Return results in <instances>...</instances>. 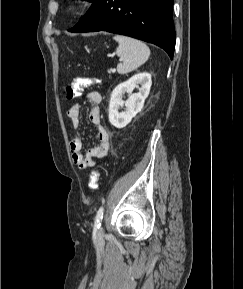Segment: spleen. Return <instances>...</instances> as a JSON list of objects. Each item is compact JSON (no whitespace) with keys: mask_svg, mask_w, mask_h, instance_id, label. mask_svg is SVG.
I'll return each mask as SVG.
<instances>
[{"mask_svg":"<svg viewBox=\"0 0 243 289\" xmlns=\"http://www.w3.org/2000/svg\"><path fill=\"white\" fill-rule=\"evenodd\" d=\"M113 39L118 42L116 54L120 58L117 64L119 74L130 73L148 60L150 49L142 41L123 35H115Z\"/></svg>","mask_w":243,"mask_h":289,"instance_id":"obj_1","label":"spleen"}]
</instances>
